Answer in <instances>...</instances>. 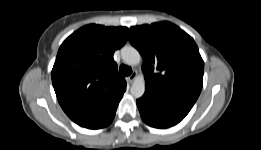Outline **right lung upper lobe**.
I'll return each mask as SVG.
<instances>
[{
	"label": "right lung upper lobe",
	"instance_id": "right-lung-upper-lobe-1",
	"mask_svg": "<svg viewBox=\"0 0 261 150\" xmlns=\"http://www.w3.org/2000/svg\"><path fill=\"white\" fill-rule=\"evenodd\" d=\"M128 28L87 25L60 46L52 83L65 113L86 126L119 103L126 81L113 60L116 49L127 41Z\"/></svg>",
	"mask_w": 261,
	"mask_h": 150
}]
</instances>
